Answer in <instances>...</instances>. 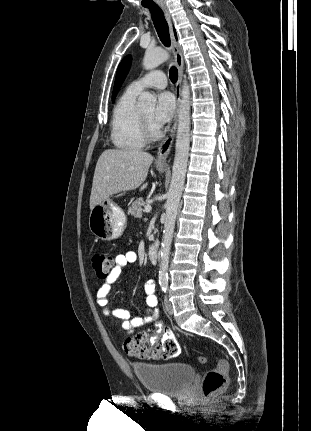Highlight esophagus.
<instances>
[{"label":"esophagus","instance_id":"esophagus-1","mask_svg":"<svg viewBox=\"0 0 311 431\" xmlns=\"http://www.w3.org/2000/svg\"><path fill=\"white\" fill-rule=\"evenodd\" d=\"M165 17L168 21L169 27H170V37H171V48L174 54L175 62L178 67V80L175 87V96H176V112L174 114V120L173 124L171 126L170 132L168 136L160 143L158 148V154L157 158L155 160V163L161 166L166 167L167 166V157L171 151L175 135H176V129L178 125V113H179V104L181 100V82H182V75H183V56L181 53V50L179 48V45L177 41L175 40L173 29H172V23H171V16L170 12L165 4L160 5Z\"/></svg>","mask_w":311,"mask_h":431}]
</instances>
